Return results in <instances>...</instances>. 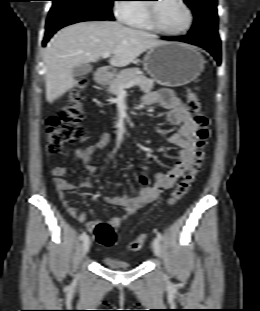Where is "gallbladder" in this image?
I'll list each match as a JSON object with an SVG mask.
<instances>
[{"label": "gallbladder", "instance_id": "obj_1", "mask_svg": "<svg viewBox=\"0 0 260 311\" xmlns=\"http://www.w3.org/2000/svg\"><path fill=\"white\" fill-rule=\"evenodd\" d=\"M92 71V67L89 64H80L73 69V76H83Z\"/></svg>", "mask_w": 260, "mask_h": 311}]
</instances>
